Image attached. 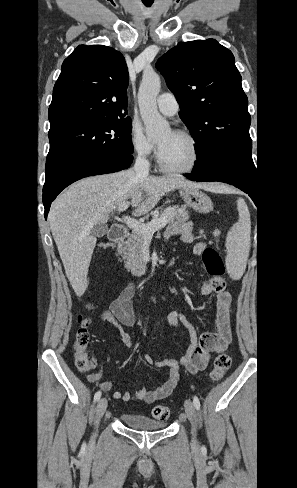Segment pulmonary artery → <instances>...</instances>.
<instances>
[{"label":"pulmonary artery","mask_w":297,"mask_h":488,"mask_svg":"<svg viewBox=\"0 0 297 488\" xmlns=\"http://www.w3.org/2000/svg\"><path fill=\"white\" fill-rule=\"evenodd\" d=\"M158 110L166 116H174L179 110V104L175 96L170 92L159 95L157 99Z\"/></svg>","instance_id":"e3ab8cb5"}]
</instances>
